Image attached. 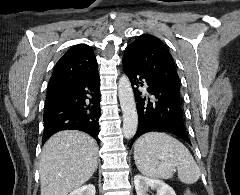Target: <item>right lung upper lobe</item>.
I'll return each instance as SVG.
<instances>
[{"mask_svg":"<svg viewBox=\"0 0 240 195\" xmlns=\"http://www.w3.org/2000/svg\"><path fill=\"white\" fill-rule=\"evenodd\" d=\"M98 73L96 57L90 46L78 44L57 62L49 85L81 82Z\"/></svg>","mask_w":240,"mask_h":195,"instance_id":"right-lung-upper-lobe-1","label":"right lung upper lobe"}]
</instances>
